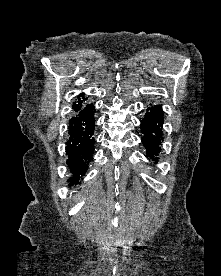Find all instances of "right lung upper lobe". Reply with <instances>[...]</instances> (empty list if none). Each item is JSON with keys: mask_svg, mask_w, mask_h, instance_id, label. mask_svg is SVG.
<instances>
[{"mask_svg": "<svg viewBox=\"0 0 221 276\" xmlns=\"http://www.w3.org/2000/svg\"><path fill=\"white\" fill-rule=\"evenodd\" d=\"M83 93H81L78 97V101L76 103L73 104V110L75 111V113H77L78 111H80L81 109L84 108V106H86L85 103H83L85 100H87V98L85 99L83 97ZM81 96V97H80Z\"/></svg>", "mask_w": 221, "mask_h": 276, "instance_id": "right-lung-upper-lobe-1", "label": "right lung upper lobe"}]
</instances>
